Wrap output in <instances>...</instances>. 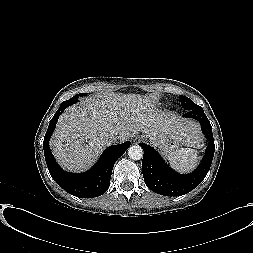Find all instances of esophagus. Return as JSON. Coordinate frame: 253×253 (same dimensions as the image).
Instances as JSON below:
<instances>
[{
	"label": "esophagus",
	"mask_w": 253,
	"mask_h": 253,
	"mask_svg": "<svg viewBox=\"0 0 253 253\" xmlns=\"http://www.w3.org/2000/svg\"><path fill=\"white\" fill-rule=\"evenodd\" d=\"M139 139V137H136L135 139H134V142H135V140L137 141Z\"/></svg>",
	"instance_id": "1"
}]
</instances>
